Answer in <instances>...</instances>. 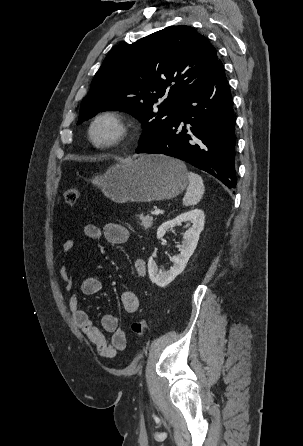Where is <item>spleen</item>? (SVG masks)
<instances>
[{
	"mask_svg": "<svg viewBox=\"0 0 303 446\" xmlns=\"http://www.w3.org/2000/svg\"><path fill=\"white\" fill-rule=\"evenodd\" d=\"M189 185L183 198L185 206L196 205L202 198L205 187L203 179L196 173H188Z\"/></svg>",
	"mask_w": 303,
	"mask_h": 446,
	"instance_id": "3e777b00",
	"label": "spleen"
}]
</instances>
